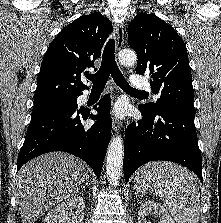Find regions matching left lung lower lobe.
I'll list each match as a JSON object with an SVG mask.
<instances>
[{"label":"left lung lower lobe","instance_id":"left-lung-lower-lobe-1","mask_svg":"<svg viewBox=\"0 0 221 223\" xmlns=\"http://www.w3.org/2000/svg\"><path fill=\"white\" fill-rule=\"evenodd\" d=\"M143 119L130 124L124 142V177L149 161L166 160L192 170L202 181V158L194 125L195 113L166 108L150 113L139 106Z\"/></svg>","mask_w":221,"mask_h":223}]
</instances>
